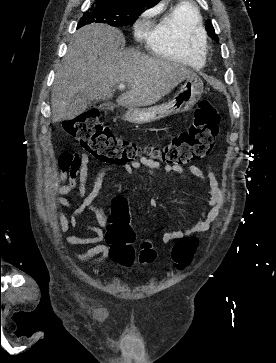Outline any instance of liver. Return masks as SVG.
Segmentation results:
<instances>
[{"label":"liver","instance_id":"liver-1","mask_svg":"<svg viewBox=\"0 0 276 363\" xmlns=\"http://www.w3.org/2000/svg\"><path fill=\"white\" fill-rule=\"evenodd\" d=\"M125 42L118 29L91 24L72 36L57 69L51 94L52 122L72 119V98L80 94L92 101L113 97L119 83L130 86L117 103L125 108L155 104L179 83L196 74L179 63L151 57L135 49L120 50Z\"/></svg>","mask_w":276,"mask_h":363}]
</instances>
